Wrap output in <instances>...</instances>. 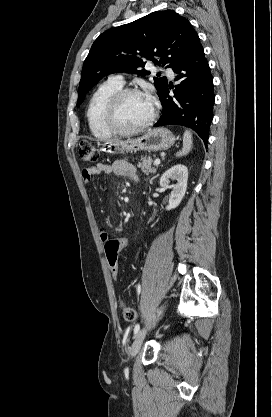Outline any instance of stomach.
<instances>
[{
	"label": "stomach",
	"instance_id": "obj_1",
	"mask_svg": "<svg viewBox=\"0 0 272 417\" xmlns=\"http://www.w3.org/2000/svg\"><path fill=\"white\" fill-rule=\"evenodd\" d=\"M175 142V136L166 128L149 129L142 136L123 141H110L102 145L109 154L148 151L157 152L169 149Z\"/></svg>",
	"mask_w": 272,
	"mask_h": 417
}]
</instances>
